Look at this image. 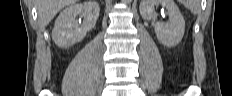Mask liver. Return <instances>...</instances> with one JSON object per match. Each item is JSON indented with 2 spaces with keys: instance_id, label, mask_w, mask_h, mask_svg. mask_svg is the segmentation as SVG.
I'll list each match as a JSON object with an SVG mask.
<instances>
[{
  "instance_id": "6515ba94",
  "label": "liver",
  "mask_w": 232,
  "mask_h": 96,
  "mask_svg": "<svg viewBox=\"0 0 232 96\" xmlns=\"http://www.w3.org/2000/svg\"><path fill=\"white\" fill-rule=\"evenodd\" d=\"M74 2L76 0H36L40 23L47 26L62 8Z\"/></svg>"
}]
</instances>
